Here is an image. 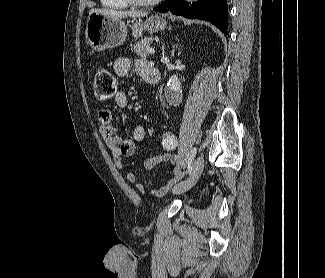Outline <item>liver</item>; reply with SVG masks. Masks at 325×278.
Masks as SVG:
<instances>
[{
	"instance_id": "obj_1",
	"label": "liver",
	"mask_w": 325,
	"mask_h": 278,
	"mask_svg": "<svg viewBox=\"0 0 325 278\" xmlns=\"http://www.w3.org/2000/svg\"><path fill=\"white\" fill-rule=\"evenodd\" d=\"M92 13H100L104 16L113 17V18H140L148 15V12H140V11H116L112 9H91L89 15Z\"/></svg>"
}]
</instances>
